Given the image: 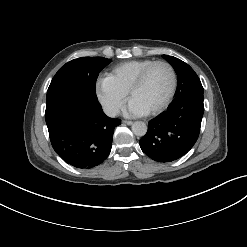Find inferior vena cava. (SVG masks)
<instances>
[{
  "instance_id": "602c4592",
  "label": "inferior vena cava",
  "mask_w": 247,
  "mask_h": 247,
  "mask_svg": "<svg viewBox=\"0 0 247 247\" xmlns=\"http://www.w3.org/2000/svg\"><path fill=\"white\" fill-rule=\"evenodd\" d=\"M104 113L109 117H115L118 115L119 110L116 107L113 106H106L104 107Z\"/></svg>"
}]
</instances>
